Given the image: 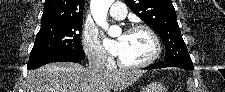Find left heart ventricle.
I'll return each instance as SVG.
<instances>
[{"label": "left heart ventricle", "instance_id": "1", "mask_svg": "<svg viewBox=\"0 0 225 92\" xmlns=\"http://www.w3.org/2000/svg\"><path fill=\"white\" fill-rule=\"evenodd\" d=\"M117 39L121 42L119 58L127 64L141 63L153 54V41L145 31L125 32Z\"/></svg>", "mask_w": 225, "mask_h": 92}]
</instances>
